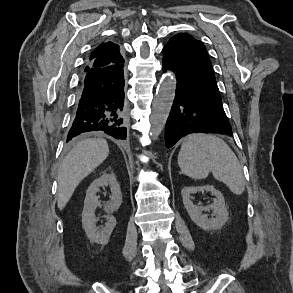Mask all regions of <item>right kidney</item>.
I'll list each match as a JSON object with an SVG mask.
<instances>
[{
	"label": "right kidney",
	"mask_w": 293,
	"mask_h": 293,
	"mask_svg": "<svg viewBox=\"0 0 293 293\" xmlns=\"http://www.w3.org/2000/svg\"><path fill=\"white\" fill-rule=\"evenodd\" d=\"M109 186L111 190V199L104 205L106 212L110 213L107 216V222L102 229L96 227L95 210L100 206L97 192L100 187ZM122 203V194L120 185L116 180L115 174L104 173L100 178L95 179L89 186L84 201V208L82 212V226L90 241L105 245L108 243L110 235L116 226V219L111 214L117 211Z\"/></svg>",
	"instance_id": "1"
}]
</instances>
